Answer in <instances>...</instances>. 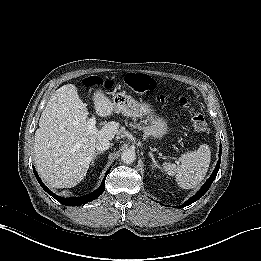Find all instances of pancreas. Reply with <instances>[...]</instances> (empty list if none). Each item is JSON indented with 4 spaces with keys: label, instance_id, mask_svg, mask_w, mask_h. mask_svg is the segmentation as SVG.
I'll return each instance as SVG.
<instances>
[{
    "label": "pancreas",
    "instance_id": "1",
    "mask_svg": "<svg viewBox=\"0 0 261 261\" xmlns=\"http://www.w3.org/2000/svg\"><path fill=\"white\" fill-rule=\"evenodd\" d=\"M137 128H138L139 130H143L145 133H147L146 127L137 126Z\"/></svg>",
    "mask_w": 261,
    "mask_h": 261
}]
</instances>
